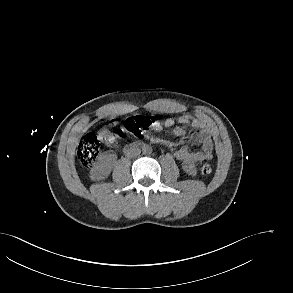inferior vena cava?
Segmentation results:
<instances>
[{"label": "inferior vena cava", "mask_w": 293, "mask_h": 293, "mask_svg": "<svg viewBox=\"0 0 293 293\" xmlns=\"http://www.w3.org/2000/svg\"><path fill=\"white\" fill-rule=\"evenodd\" d=\"M140 149L137 147H132L127 151V156L130 158L137 157L140 154Z\"/></svg>", "instance_id": "obj_1"}]
</instances>
